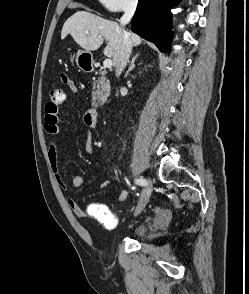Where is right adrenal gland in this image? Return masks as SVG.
<instances>
[{
	"label": "right adrenal gland",
	"instance_id": "1",
	"mask_svg": "<svg viewBox=\"0 0 249 294\" xmlns=\"http://www.w3.org/2000/svg\"><path fill=\"white\" fill-rule=\"evenodd\" d=\"M139 55H140V53H137V54L132 58V61H131L130 66H129V68H128V71L126 72L127 74L135 68V61H136V59L139 57Z\"/></svg>",
	"mask_w": 249,
	"mask_h": 294
}]
</instances>
